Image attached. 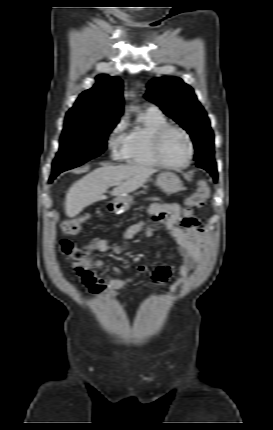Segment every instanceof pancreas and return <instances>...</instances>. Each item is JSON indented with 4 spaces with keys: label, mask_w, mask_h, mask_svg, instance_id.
I'll use <instances>...</instances> for the list:
<instances>
[{
    "label": "pancreas",
    "mask_w": 273,
    "mask_h": 430,
    "mask_svg": "<svg viewBox=\"0 0 273 430\" xmlns=\"http://www.w3.org/2000/svg\"><path fill=\"white\" fill-rule=\"evenodd\" d=\"M149 200H153V201H160L159 198H150Z\"/></svg>",
    "instance_id": "pancreas-1"
}]
</instances>
